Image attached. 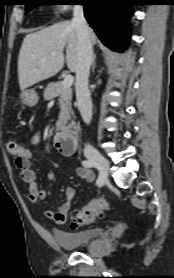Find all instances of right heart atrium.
Returning <instances> with one entry per match:
<instances>
[{
	"label": "right heart atrium",
	"instance_id": "obj_1",
	"mask_svg": "<svg viewBox=\"0 0 174 278\" xmlns=\"http://www.w3.org/2000/svg\"><path fill=\"white\" fill-rule=\"evenodd\" d=\"M69 7L70 6H68V5H60V6H58L57 11H58V13H65L68 11Z\"/></svg>",
	"mask_w": 174,
	"mask_h": 278
}]
</instances>
